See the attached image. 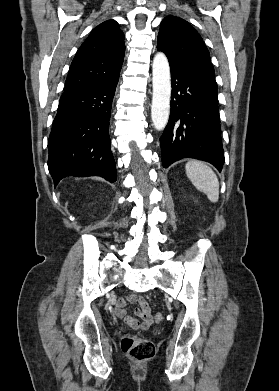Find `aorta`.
Instances as JSON below:
<instances>
[{
	"instance_id": "762f6f07",
	"label": "aorta",
	"mask_w": 279,
	"mask_h": 391,
	"mask_svg": "<svg viewBox=\"0 0 279 391\" xmlns=\"http://www.w3.org/2000/svg\"><path fill=\"white\" fill-rule=\"evenodd\" d=\"M153 97L151 118L156 130H163L170 113L171 78L168 59L158 52L153 59Z\"/></svg>"
}]
</instances>
